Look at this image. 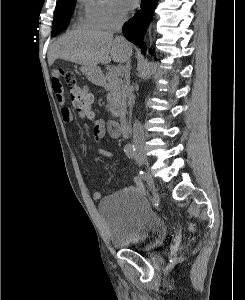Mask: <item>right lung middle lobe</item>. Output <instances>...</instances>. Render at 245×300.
<instances>
[{"label":"right lung middle lobe","instance_id":"1","mask_svg":"<svg viewBox=\"0 0 245 300\" xmlns=\"http://www.w3.org/2000/svg\"><path fill=\"white\" fill-rule=\"evenodd\" d=\"M76 0H57L53 30L51 35L54 37L62 32L68 25V20L72 15Z\"/></svg>","mask_w":245,"mask_h":300}]
</instances>
